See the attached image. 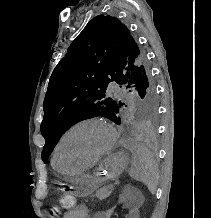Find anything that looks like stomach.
Returning a JSON list of instances; mask_svg holds the SVG:
<instances>
[{
    "mask_svg": "<svg viewBox=\"0 0 211 218\" xmlns=\"http://www.w3.org/2000/svg\"><path fill=\"white\" fill-rule=\"evenodd\" d=\"M129 165V157L124 152L108 156L94 175L83 174L72 177L73 194L85 197L96 190L102 182L116 179Z\"/></svg>",
    "mask_w": 211,
    "mask_h": 218,
    "instance_id": "1",
    "label": "stomach"
}]
</instances>
